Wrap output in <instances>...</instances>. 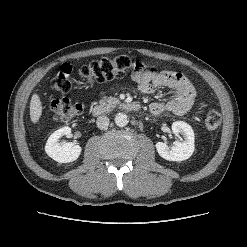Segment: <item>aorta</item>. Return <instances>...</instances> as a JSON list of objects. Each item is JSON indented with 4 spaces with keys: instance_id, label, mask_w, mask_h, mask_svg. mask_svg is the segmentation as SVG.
Wrapping results in <instances>:
<instances>
[{
    "instance_id": "1",
    "label": "aorta",
    "mask_w": 247,
    "mask_h": 247,
    "mask_svg": "<svg viewBox=\"0 0 247 247\" xmlns=\"http://www.w3.org/2000/svg\"><path fill=\"white\" fill-rule=\"evenodd\" d=\"M114 120L118 127H125L128 124V117L125 113H118Z\"/></svg>"
}]
</instances>
